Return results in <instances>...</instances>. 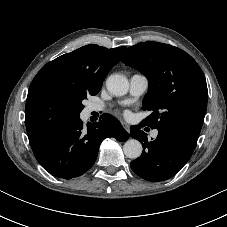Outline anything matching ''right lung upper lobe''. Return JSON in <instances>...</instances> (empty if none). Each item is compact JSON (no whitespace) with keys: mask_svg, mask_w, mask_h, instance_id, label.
Masks as SVG:
<instances>
[{"mask_svg":"<svg viewBox=\"0 0 227 227\" xmlns=\"http://www.w3.org/2000/svg\"><path fill=\"white\" fill-rule=\"evenodd\" d=\"M126 47L83 46L47 63L34 77L27 96L25 120L32 149L59 127L76 119L80 95H95Z\"/></svg>","mask_w":227,"mask_h":227,"instance_id":"right-lung-upper-lobe-1","label":"right lung upper lobe"}]
</instances>
